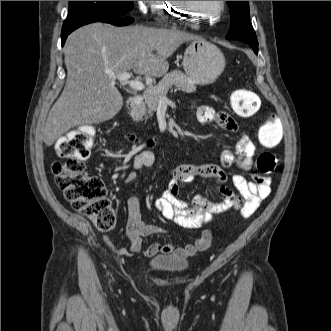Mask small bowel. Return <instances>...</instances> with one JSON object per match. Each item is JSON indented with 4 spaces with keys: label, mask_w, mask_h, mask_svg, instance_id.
<instances>
[{
    "label": "small bowel",
    "mask_w": 331,
    "mask_h": 331,
    "mask_svg": "<svg viewBox=\"0 0 331 331\" xmlns=\"http://www.w3.org/2000/svg\"><path fill=\"white\" fill-rule=\"evenodd\" d=\"M195 115L203 124L215 123L220 128L229 132H237L238 125L226 112H216L209 106H199L195 109ZM255 145L245 134H242L236 143L234 151L225 149L220 155V164H183L171 170V179L167 189L156 199L155 209L167 220H173L182 228L197 229L204 224L212 222L216 215L230 209L238 210L243 218L250 217L259 207L262 200L266 199L271 191L269 177L260 174H251L249 178L243 175H234L232 182L235 190L224 183L226 181L225 169L237 166L244 171L253 168V156ZM154 162L151 151L144 150L133 158L135 170L149 167ZM196 177L211 178L216 181L215 192L222 196V201L212 202L203 195H196L190 201L181 199L180 185L190 183ZM137 180V174L131 172L126 177V182L133 183ZM126 236L130 241L128 248L116 249L120 255L130 256L142 249L143 238L164 234L158 226L147 225L141 219L140 201L135 195L127 199ZM202 238L211 240V233L204 231ZM198 247L186 244L177 247L170 243H153L145 254L152 257L156 254H173L179 258H188L195 254Z\"/></svg>",
    "instance_id": "c3829d8e"
}]
</instances>
